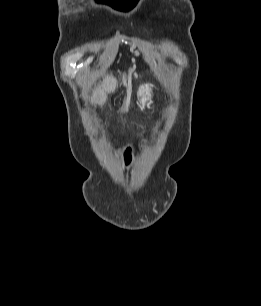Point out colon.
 Instances as JSON below:
<instances>
[{
    "label": "colon",
    "mask_w": 261,
    "mask_h": 306,
    "mask_svg": "<svg viewBox=\"0 0 261 306\" xmlns=\"http://www.w3.org/2000/svg\"><path fill=\"white\" fill-rule=\"evenodd\" d=\"M124 155H125L126 162L129 163L132 158V149L130 147L124 148Z\"/></svg>",
    "instance_id": "1"
}]
</instances>
